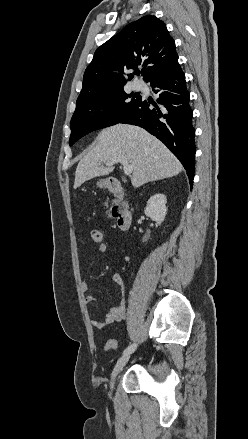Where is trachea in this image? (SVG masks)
Returning <instances> with one entry per match:
<instances>
[{"label": "trachea", "mask_w": 248, "mask_h": 439, "mask_svg": "<svg viewBox=\"0 0 248 439\" xmlns=\"http://www.w3.org/2000/svg\"><path fill=\"white\" fill-rule=\"evenodd\" d=\"M142 73V72H141ZM136 75H140V72L138 71V72H136Z\"/></svg>", "instance_id": "obj_1"}]
</instances>
